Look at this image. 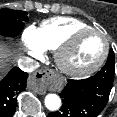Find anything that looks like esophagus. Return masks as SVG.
<instances>
[{"label": "esophagus", "instance_id": "obj_1", "mask_svg": "<svg viewBox=\"0 0 117 117\" xmlns=\"http://www.w3.org/2000/svg\"><path fill=\"white\" fill-rule=\"evenodd\" d=\"M52 78V71L48 69L38 70L29 77L28 84L36 93L45 94L47 89L53 88Z\"/></svg>", "mask_w": 117, "mask_h": 117}]
</instances>
